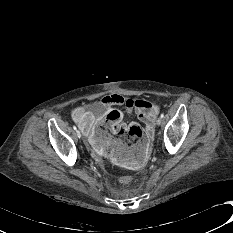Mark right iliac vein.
Returning a JSON list of instances; mask_svg holds the SVG:
<instances>
[{"label":"right iliac vein","mask_w":233,"mask_h":233,"mask_svg":"<svg viewBox=\"0 0 233 233\" xmlns=\"http://www.w3.org/2000/svg\"><path fill=\"white\" fill-rule=\"evenodd\" d=\"M76 135H77L78 138H80L81 137V132L79 130H76Z\"/></svg>","instance_id":"right-iliac-vein-1"}]
</instances>
